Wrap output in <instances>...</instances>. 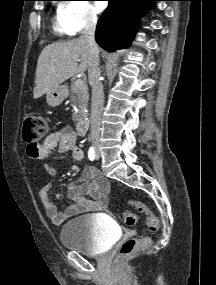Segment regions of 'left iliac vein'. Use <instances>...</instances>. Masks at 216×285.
Instances as JSON below:
<instances>
[{
  "mask_svg": "<svg viewBox=\"0 0 216 285\" xmlns=\"http://www.w3.org/2000/svg\"><path fill=\"white\" fill-rule=\"evenodd\" d=\"M100 155H99V152L97 151L96 152V159H99Z\"/></svg>",
  "mask_w": 216,
  "mask_h": 285,
  "instance_id": "obj_1",
  "label": "left iliac vein"
}]
</instances>
